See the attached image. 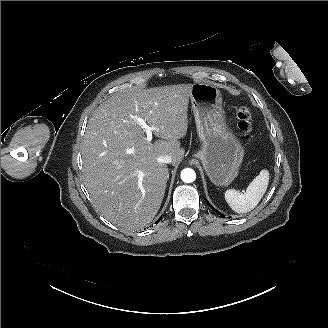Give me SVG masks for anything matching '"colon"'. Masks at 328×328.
Segmentation results:
<instances>
[{
    "instance_id": "5ec220e1",
    "label": "colon",
    "mask_w": 328,
    "mask_h": 328,
    "mask_svg": "<svg viewBox=\"0 0 328 328\" xmlns=\"http://www.w3.org/2000/svg\"><path fill=\"white\" fill-rule=\"evenodd\" d=\"M238 128L243 133L245 139L253 141V122L252 114L247 107H240L237 110Z\"/></svg>"
}]
</instances>
